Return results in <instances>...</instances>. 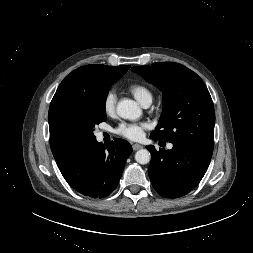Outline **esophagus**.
I'll return each mask as SVG.
<instances>
[{
	"label": "esophagus",
	"instance_id": "34e87169",
	"mask_svg": "<svg viewBox=\"0 0 253 253\" xmlns=\"http://www.w3.org/2000/svg\"><path fill=\"white\" fill-rule=\"evenodd\" d=\"M132 148H133L134 151H136V150L141 149V148H142V145H140V144H133V145H132Z\"/></svg>",
	"mask_w": 253,
	"mask_h": 253
}]
</instances>
